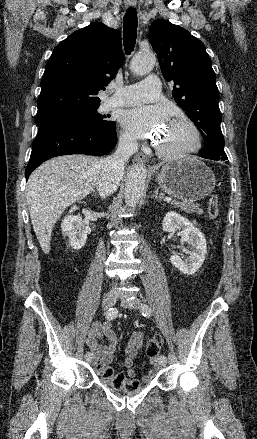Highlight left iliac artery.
<instances>
[{
  "label": "left iliac artery",
  "mask_w": 257,
  "mask_h": 439,
  "mask_svg": "<svg viewBox=\"0 0 257 439\" xmlns=\"http://www.w3.org/2000/svg\"><path fill=\"white\" fill-rule=\"evenodd\" d=\"M141 313H142V315L144 317H150L152 311H151V308L148 305L143 304V305H141ZM166 361H167V359H166V357L164 355H161L159 357V362H165L166 363Z\"/></svg>",
  "instance_id": "left-iliac-artery-1"
}]
</instances>
